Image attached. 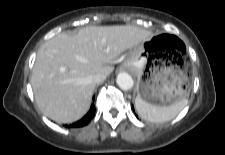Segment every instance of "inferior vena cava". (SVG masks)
<instances>
[{"label":"inferior vena cava","instance_id":"inferior-vena-cava-1","mask_svg":"<svg viewBox=\"0 0 225 155\" xmlns=\"http://www.w3.org/2000/svg\"><path fill=\"white\" fill-rule=\"evenodd\" d=\"M106 79V75L104 74H96L93 76V82L95 84L101 83Z\"/></svg>","mask_w":225,"mask_h":155}]
</instances>
